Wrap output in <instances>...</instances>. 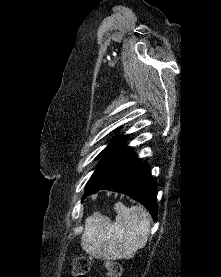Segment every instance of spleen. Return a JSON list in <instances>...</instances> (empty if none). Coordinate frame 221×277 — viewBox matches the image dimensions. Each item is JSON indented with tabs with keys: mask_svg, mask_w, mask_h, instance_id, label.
Masks as SVG:
<instances>
[{
	"mask_svg": "<svg viewBox=\"0 0 221 277\" xmlns=\"http://www.w3.org/2000/svg\"><path fill=\"white\" fill-rule=\"evenodd\" d=\"M115 222L94 213L85 222L82 249L88 254L109 260L130 259L143 248L150 233V217L141 206L126 207L117 203Z\"/></svg>",
	"mask_w": 221,
	"mask_h": 277,
	"instance_id": "spleen-1",
	"label": "spleen"
}]
</instances>
